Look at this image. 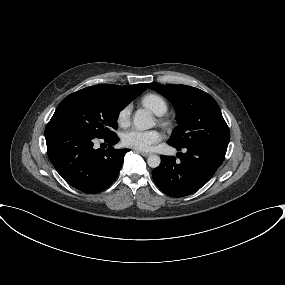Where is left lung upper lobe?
Here are the masks:
<instances>
[{"mask_svg": "<svg viewBox=\"0 0 285 285\" xmlns=\"http://www.w3.org/2000/svg\"><path fill=\"white\" fill-rule=\"evenodd\" d=\"M149 88L167 98L175 107L179 127L168 143L186 147L192 144L228 146L229 128L221 110L206 92L186 85H151Z\"/></svg>", "mask_w": 285, "mask_h": 285, "instance_id": "1", "label": "left lung upper lobe"}]
</instances>
